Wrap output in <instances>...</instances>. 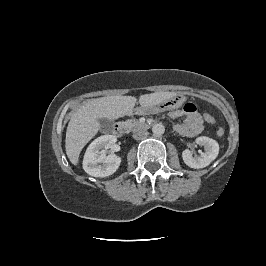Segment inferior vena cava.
Returning <instances> with one entry per match:
<instances>
[{"label":"inferior vena cava","mask_w":266,"mask_h":266,"mask_svg":"<svg viewBox=\"0 0 266 266\" xmlns=\"http://www.w3.org/2000/svg\"><path fill=\"white\" fill-rule=\"evenodd\" d=\"M148 134V132L145 129L139 128V129H135L133 132V138L134 139H142L144 137H146Z\"/></svg>","instance_id":"1"}]
</instances>
